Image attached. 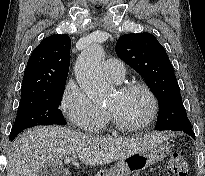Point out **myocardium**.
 <instances>
[{
	"label": "myocardium",
	"mask_w": 205,
	"mask_h": 176,
	"mask_svg": "<svg viewBox=\"0 0 205 176\" xmlns=\"http://www.w3.org/2000/svg\"><path fill=\"white\" fill-rule=\"evenodd\" d=\"M133 91H142L148 97L151 104V110L148 117L138 124H127L123 122L114 111L107 110L108 115L110 116L114 126L121 131L133 132V131L144 129L147 126H149L151 123H153V121L156 119L158 114L159 107H158L157 97L154 94V92L144 83L131 82L128 84H124L119 88L118 93L127 94Z\"/></svg>",
	"instance_id": "f54148a6"
}]
</instances>
